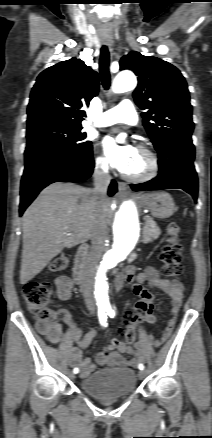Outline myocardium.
<instances>
[{
  "label": "myocardium",
  "instance_id": "myocardium-1",
  "mask_svg": "<svg viewBox=\"0 0 212 438\" xmlns=\"http://www.w3.org/2000/svg\"><path fill=\"white\" fill-rule=\"evenodd\" d=\"M139 152L143 153L145 156H147L149 161V167L147 171L141 175H132L128 174L126 172H123V177L134 183H143L152 180L155 178L160 170V162L157 157V155L149 148L145 146H139L137 149Z\"/></svg>",
  "mask_w": 212,
  "mask_h": 438
}]
</instances>
